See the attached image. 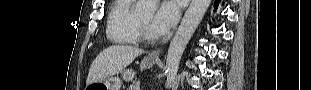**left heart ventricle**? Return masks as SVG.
<instances>
[{"mask_svg":"<svg viewBox=\"0 0 311 90\" xmlns=\"http://www.w3.org/2000/svg\"><path fill=\"white\" fill-rule=\"evenodd\" d=\"M140 18H141L142 21L149 27L150 31H151L154 35H157V34L151 29V21H152V19H153V14L150 13V14L141 16Z\"/></svg>","mask_w":311,"mask_h":90,"instance_id":"1","label":"left heart ventricle"}]
</instances>
